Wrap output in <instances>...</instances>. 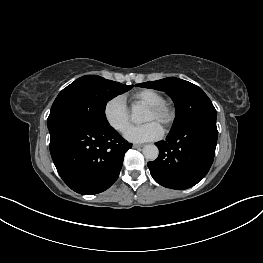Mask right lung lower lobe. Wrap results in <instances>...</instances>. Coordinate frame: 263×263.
I'll list each match as a JSON object with an SVG mask.
<instances>
[{"label": "right lung lower lobe", "mask_w": 263, "mask_h": 263, "mask_svg": "<svg viewBox=\"0 0 263 263\" xmlns=\"http://www.w3.org/2000/svg\"><path fill=\"white\" fill-rule=\"evenodd\" d=\"M49 133L50 153L59 175L69 188L83 195L108 189L132 147L111 126L65 121L49 128Z\"/></svg>", "instance_id": "obj_1"}]
</instances>
